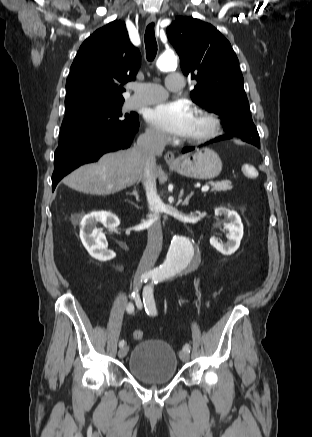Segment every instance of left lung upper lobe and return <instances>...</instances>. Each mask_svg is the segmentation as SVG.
I'll list each match as a JSON object with an SVG mask.
<instances>
[{
  "instance_id": "obj_1",
  "label": "left lung upper lobe",
  "mask_w": 312,
  "mask_h": 437,
  "mask_svg": "<svg viewBox=\"0 0 312 437\" xmlns=\"http://www.w3.org/2000/svg\"><path fill=\"white\" fill-rule=\"evenodd\" d=\"M167 35L182 71L197 81L192 100L221 117L226 136L259 143L239 61L229 41L211 24L191 17H176Z\"/></svg>"
}]
</instances>
